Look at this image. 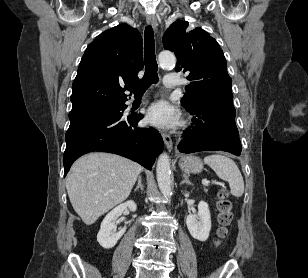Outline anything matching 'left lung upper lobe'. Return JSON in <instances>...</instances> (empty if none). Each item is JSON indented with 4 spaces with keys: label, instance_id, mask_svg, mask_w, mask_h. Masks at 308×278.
Masks as SVG:
<instances>
[{
    "label": "left lung upper lobe",
    "instance_id": "left-lung-upper-lobe-1",
    "mask_svg": "<svg viewBox=\"0 0 308 278\" xmlns=\"http://www.w3.org/2000/svg\"><path fill=\"white\" fill-rule=\"evenodd\" d=\"M187 21L176 20L163 36L165 49L177 57L176 71L187 73L190 84L181 103L186 109L196 107L214 94L231 92L232 79L217 41L197 27L189 29Z\"/></svg>",
    "mask_w": 308,
    "mask_h": 278
}]
</instances>
